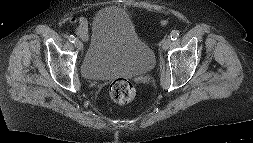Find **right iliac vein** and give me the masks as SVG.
Here are the masks:
<instances>
[{"label": "right iliac vein", "mask_w": 253, "mask_h": 143, "mask_svg": "<svg viewBox=\"0 0 253 143\" xmlns=\"http://www.w3.org/2000/svg\"><path fill=\"white\" fill-rule=\"evenodd\" d=\"M75 47L78 49V50H82L83 49V43L79 40H76L75 41Z\"/></svg>", "instance_id": "1"}]
</instances>
